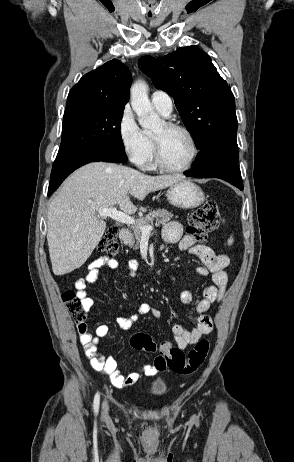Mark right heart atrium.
I'll use <instances>...</instances> for the list:
<instances>
[{"mask_svg":"<svg viewBox=\"0 0 294 462\" xmlns=\"http://www.w3.org/2000/svg\"><path fill=\"white\" fill-rule=\"evenodd\" d=\"M117 131L122 149L128 159L134 165H142L147 155L148 143L129 106L124 107L121 112Z\"/></svg>","mask_w":294,"mask_h":462,"instance_id":"d8ad5b80","label":"right heart atrium"}]
</instances>
